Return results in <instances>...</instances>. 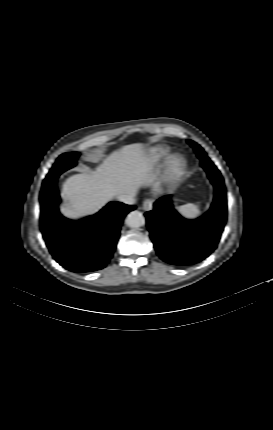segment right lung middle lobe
<instances>
[{"label": "right lung middle lobe", "instance_id": "right-lung-middle-lobe-1", "mask_svg": "<svg viewBox=\"0 0 273 430\" xmlns=\"http://www.w3.org/2000/svg\"><path fill=\"white\" fill-rule=\"evenodd\" d=\"M78 156L79 153L77 152L64 153L60 155L56 163L49 171L43 183L50 182L53 179H57L62 172L75 166Z\"/></svg>", "mask_w": 273, "mask_h": 430}]
</instances>
